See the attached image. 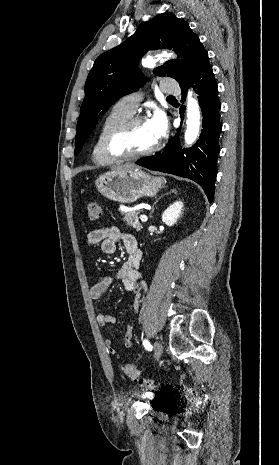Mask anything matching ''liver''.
I'll return each instance as SVG.
<instances>
[{"instance_id": "6515ba94", "label": "liver", "mask_w": 279, "mask_h": 465, "mask_svg": "<svg viewBox=\"0 0 279 465\" xmlns=\"http://www.w3.org/2000/svg\"><path fill=\"white\" fill-rule=\"evenodd\" d=\"M133 168H137V167L135 165L126 164V165L120 166L118 169H133Z\"/></svg>"}]
</instances>
